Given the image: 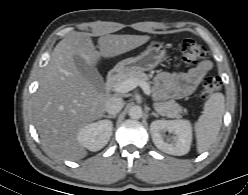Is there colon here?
Masks as SVG:
<instances>
[{
  "label": "colon",
  "instance_id": "obj_1",
  "mask_svg": "<svg viewBox=\"0 0 248 195\" xmlns=\"http://www.w3.org/2000/svg\"><path fill=\"white\" fill-rule=\"evenodd\" d=\"M183 62L188 66H195L209 57L207 48L192 39H184L180 43ZM221 88L218 77H208L202 85L201 97L207 99Z\"/></svg>",
  "mask_w": 248,
  "mask_h": 195
}]
</instances>
